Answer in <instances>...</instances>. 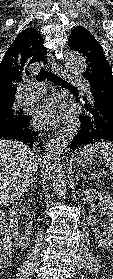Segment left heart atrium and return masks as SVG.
<instances>
[{"label":"left heart atrium","mask_w":113,"mask_h":279,"mask_svg":"<svg viewBox=\"0 0 113 279\" xmlns=\"http://www.w3.org/2000/svg\"><path fill=\"white\" fill-rule=\"evenodd\" d=\"M66 109L58 98H44L35 109V119L43 126L57 124L65 115Z\"/></svg>","instance_id":"obj_1"}]
</instances>
